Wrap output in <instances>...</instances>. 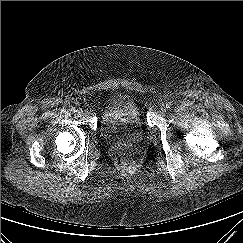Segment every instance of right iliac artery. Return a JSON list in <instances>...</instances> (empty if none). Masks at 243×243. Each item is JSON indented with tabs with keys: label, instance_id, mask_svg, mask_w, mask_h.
Returning a JSON list of instances; mask_svg holds the SVG:
<instances>
[{
	"label": "right iliac artery",
	"instance_id": "1",
	"mask_svg": "<svg viewBox=\"0 0 243 243\" xmlns=\"http://www.w3.org/2000/svg\"><path fill=\"white\" fill-rule=\"evenodd\" d=\"M71 111H72L73 113H75V112L77 111V109H76L75 107H72Z\"/></svg>",
	"mask_w": 243,
	"mask_h": 243
}]
</instances>
